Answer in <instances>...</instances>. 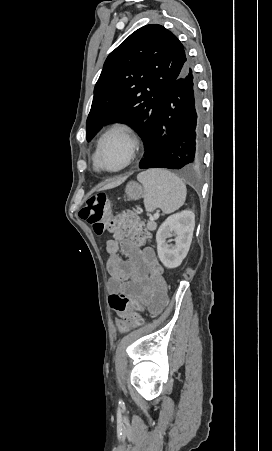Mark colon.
Returning a JSON list of instances; mask_svg holds the SVG:
<instances>
[{
  "instance_id": "1",
  "label": "colon",
  "mask_w": 272,
  "mask_h": 451,
  "mask_svg": "<svg viewBox=\"0 0 272 451\" xmlns=\"http://www.w3.org/2000/svg\"><path fill=\"white\" fill-rule=\"evenodd\" d=\"M109 205V199L105 193L96 192L87 198L86 204L78 214L82 220L90 224L96 234L102 235L105 232H117L119 239L126 237V230L130 231L131 242L134 244L142 243L148 239L150 233L139 223L131 211L121 212L110 215L106 219V213ZM109 312L117 313L121 319L120 326L125 329L127 326H139L142 324V318L137 313V305L127 295H114L108 300Z\"/></svg>"
}]
</instances>
